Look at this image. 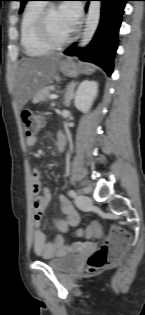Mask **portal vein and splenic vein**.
Masks as SVG:
<instances>
[{
    "label": "portal vein and splenic vein",
    "instance_id": "obj_1",
    "mask_svg": "<svg viewBox=\"0 0 145 315\" xmlns=\"http://www.w3.org/2000/svg\"><path fill=\"white\" fill-rule=\"evenodd\" d=\"M58 96L56 94H50L49 99L53 100V99H57Z\"/></svg>",
    "mask_w": 145,
    "mask_h": 315
}]
</instances>
